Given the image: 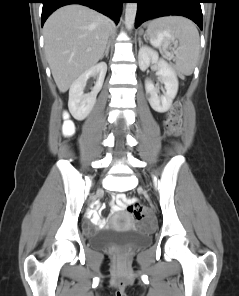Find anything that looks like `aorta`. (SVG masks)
<instances>
[{"label":"aorta","mask_w":239,"mask_h":296,"mask_svg":"<svg viewBox=\"0 0 239 296\" xmlns=\"http://www.w3.org/2000/svg\"><path fill=\"white\" fill-rule=\"evenodd\" d=\"M137 13V3H126L125 9V26L128 31L134 27V22Z\"/></svg>","instance_id":"1"}]
</instances>
